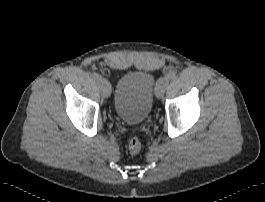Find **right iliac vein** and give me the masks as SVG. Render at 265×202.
I'll list each match as a JSON object with an SVG mask.
<instances>
[{
	"label": "right iliac vein",
	"mask_w": 265,
	"mask_h": 202,
	"mask_svg": "<svg viewBox=\"0 0 265 202\" xmlns=\"http://www.w3.org/2000/svg\"><path fill=\"white\" fill-rule=\"evenodd\" d=\"M98 85H99V87L101 89L102 95L104 97H108L110 95V93H111V85H110V83L106 79L100 78L98 80Z\"/></svg>",
	"instance_id": "1"
}]
</instances>
